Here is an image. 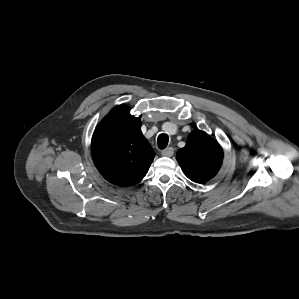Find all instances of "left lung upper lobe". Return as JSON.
I'll list each match as a JSON object with an SVG mask.
<instances>
[{
	"label": "left lung upper lobe",
	"instance_id": "5c2ea615",
	"mask_svg": "<svg viewBox=\"0 0 299 299\" xmlns=\"http://www.w3.org/2000/svg\"><path fill=\"white\" fill-rule=\"evenodd\" d=\"M176 159L190 180L204 183L218 173L223 151L208 134L195 130L188 136L186 146L178 150Z\"/></svg>",
	"mask_w": 299,
	"mask_h": 299
}]
</instances>
